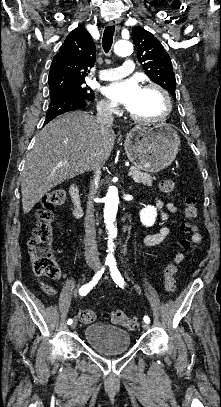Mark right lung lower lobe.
I'll return each mask as SVG.
<instances>
[{"mask_svg":"<svg viewBox=\"0 0 221 407\" xmlns=\"http://www.w3.org/2000/svg\"><path fill=\"white\" fill-rule=\"evenodd\" d=\"M92 101H94V99L90 100L81 97H62L55 100H51L44 124H47L49 121L53 120L58 115L63 114L65 112L85 108L88 105V103Z\"/></svg>","mask_w":221,"mask_h":407,"instance_id":"right-lung-lower-lobe-1","label":"right lung lower lobe"}]
</instances>
